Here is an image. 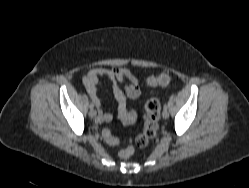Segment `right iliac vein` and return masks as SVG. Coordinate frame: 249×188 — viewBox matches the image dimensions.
Listing matches in <instances>:
<instances>
[{
    "mask_svg": "<svg viewBox=\"0 0 249 188\" xmlns=\"http://www.w3.org/2000/svg\"><path fill=\"white\" fill-rule=\"evenodd\" d=\"M96 110H94V109H91L90 110V112H89V116H90V118H95L96 117Z\"/></svg>",
    "mask_w": 249,
    "mask_h": 188,
    "instance_id": "right-iliac-vein-1",
    "label": "right iliac vein"
}]
</instances>
